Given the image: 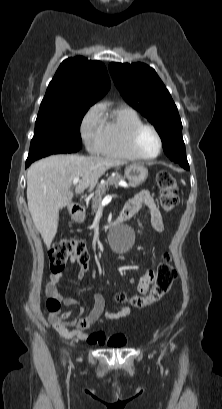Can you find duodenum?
I'll return each instance as SVG.
<instances>
[{
    "instance_id": "410a0bca",
    "label": "duodenum",
    "mask_w": 222,
    "mask_h": 409,
    "mask_svg": "<svg viewBox=\"0 0 222 409\" xmlns=\"http://www.w3.org/2000/svg\"><path fill=\"white\" fill-rule=\"evenodd\" d=\"M83 211H84V209H83V207L81 205H74L71 208V215L74 217V219H78L81 216V214L83 213ZM128 218H129L128 214H124V213L120 212L119 215H118L117 220L118 221H124V220H126Z\"/></svg>"
}]
</instances>
